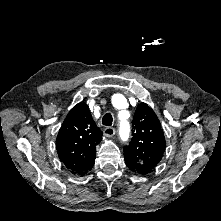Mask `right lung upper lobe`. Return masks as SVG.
Returning <instances> with one entry per match:
<instances>
[{
  "label": "right lung upper lobe",
  "mask_w": 221,
  "mask_h": 221,
  "mask_svg": "<svg viewBox=\"0 0 221 221\" xmlns=\"http://www.w3.org/2000/svg\"><path fill=\"white\" fill-rule=\"evenodd\" d=\"M101 135L87 104L78 103L68 113L59 130L56 148L61 162L73 175L83 176L93 167L95 146Z\"/></svg>",
  "instance_id": "cb5924a9"
}]
</instances>
